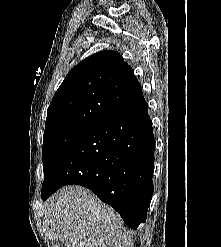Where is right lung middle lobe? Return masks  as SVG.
Masks as SVG:
<instances>
[{"instance_id": "obj_1", "label": "right lung middle lobe", "mask_w": 221, "mask_h": 247, "mask_svg": "<svg viewBox=\"0 0 221 247\" xmlns=\"http://www.w3.org/2000/svg\"><path fill=\"white\" fill-rule=\"evenodd\" d=\"M90 128H92V126L69 124L44 131L42 150L44 182L66 150Z\"/></svg>"}]
</instances>
